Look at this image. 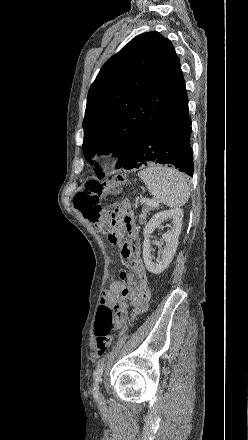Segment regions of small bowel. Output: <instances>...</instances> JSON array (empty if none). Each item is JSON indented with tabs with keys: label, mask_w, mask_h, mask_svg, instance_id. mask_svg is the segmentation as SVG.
I'll use <instances>...</instances> for the list:
<instances>
[{
	"label": "small bowel",
	"mask_w": 248,
	"mask_h": 440,
	"mask_svg": "<svg viewBox=\"0 0 248 440\" xmlns=\"http://www.w3.org/2000/svg\"><path fill=\"white\" fill-rule=\"evenodd\" d=\"M115 232L119 238L124 233L129 236V240L120 246L121 255L124 258H131L132 273L122 272L121 281L111 280L109 289L105 290L101 297V304L112 307L115 310L114 329H119L124 324L125 329L133 327L134 322L131 319L126 320L127 300L131 299L134 308L130 309L131 317H138L148 308L150 299V284L141 258V242L138 229L133 221L132 213L128 203H123L118 214L115 217ZM110 272H115L119 262L112 259L110 262ZM129 284L130 287H127Z\"/></svg>",
	"instance_id": "obj_1"
}]
</instances>
